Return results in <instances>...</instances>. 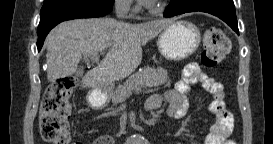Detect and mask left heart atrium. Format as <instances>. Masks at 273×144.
Masks as SVG:
<instances>
[{"label":"left heart atrium","instance_id":"obj_1","mask_svg":"<svg viewBox=\"0 0 273 144\" xmlns=\"http://www.w3.org/2000/svg\"><path fill=\"white\" fill-rule=\"evenodd\" d=\"M141 2L146 6H152L155 4V0H141Z\"/></svg>","mask_w":273,"mask_h":144}]
</instances>
